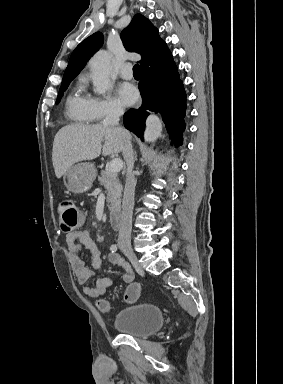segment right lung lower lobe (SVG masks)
<instances>
[{
    "label": "right lung lower lobe",
    "instance_id": "98d812e1",
    "mask_svg": "<svg viewBox=\"0 0 283 384\" xmlns=\"http://www.w3.org/2000/svg\"><path fill=\"white\" fill-rule=\"evenodd\" d=\"M138 88L142 105L124 114V126L143 140L147 116L150 112L159 113L174 145H181L186 94L174 61L164 69L142 74Z\"/></svg>",
    "mask_w": 283,
    "mask_h": 384
}]
</instances>
